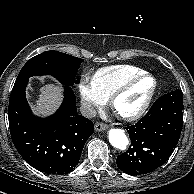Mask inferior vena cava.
Instances as JSON below:
<instances>
[{
	"mask_svg": "<svg viewBox=\"0 0 194 194\" xmlns=\"http://www.w3.org/2000/svg\"><path fill=\"white\" fill-rule=\"evenodd\" d=\"M80 112L87 118H93L97 114L96 109L90 102H83L80 106Z\"/></svg>",
	"mask_w": 194,
	"mask_h": 194,
	"instance_id": "obj_1",
	"label": "inferior vena cava"
}]
</instances>
